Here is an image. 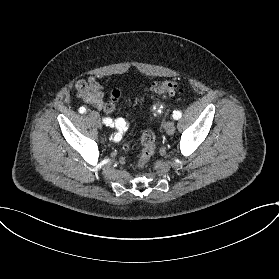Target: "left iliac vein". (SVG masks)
Instances as JSON below:
<instances>
[{
    "label": "left iliac vein",
    "mask_w": 279,
    "mask_h": 279,
    "mask_svg": "<svg viewBox=\"0 0 279 279\" xmlns=\"http://www.w3.org/2000/svg\"><path fill=\"white\" fill-rule=\"evenodd\" d=\"M165 129L168 135H172L175 130L174 123L172 121L166 122Z\"/></svg>",
    "instance_id": "left-iliac-vein-1"
}]
</instances>
